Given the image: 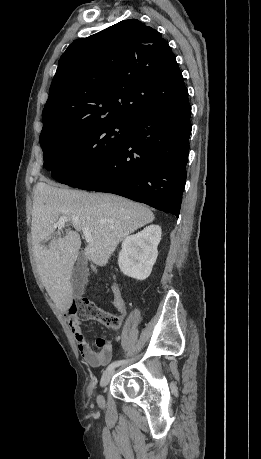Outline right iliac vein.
Segmentation results:
<instances>
[{
    "label": "right iliac vein",
    "mask_w": 261,
    "mask_h": 459,
    "mask_svg": "<svg viewBox=\"0 0 261 459\" xmlns=\"http://www.w3.org/2000/svg\"><path fill=\"white\" fill-rule=\"evenodd\" d=\"M113 374H114V370H106L101 377L100 386L105 387L110 382ZM97 401L99 405H103L104 404L103 396L99 395L97 398Z\"/></svg>",
    "instance_id": "right-iliac-vein-1"
}]
</instances>
